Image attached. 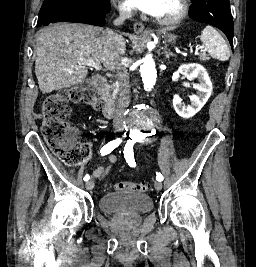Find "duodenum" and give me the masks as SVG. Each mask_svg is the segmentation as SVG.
<instances>
[{
	"instance_id": "1",
	"label": "duodenum",
	"mask_w": 256,
	"mask_h": 267,
	"mask_svg": "<svg viewBox=\"0 0 256 267\" xmlns=\"http://www.w3.org/2000/svg\"><path fill=\"white\" fill-rule=\"evenodd\" d=\"M92 85L104 102L103 116L112 118L117 110V102L109 90L107 79L103 76L94 77Z\"/></svg>"
}]
</instances>
